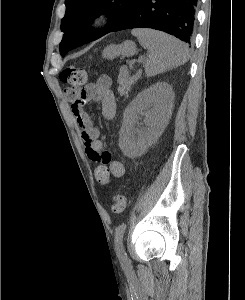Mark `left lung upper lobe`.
Returning <instances> with one entry per match:
<instances>
[{"instance_id": "left-lung-upper-lobe-1", "label": "left lung upper lobe", "mask_w": 245, "mask_h": 300, "mask_svg": "<svg viewBox=\"0 0 245 300\" xmlns=\"http://www.w3.org/2000/svg\"><path fill=\"white\" fill-rule=\"evenodd\" d=\"M136 0H65L66 12L61 21L64 32L60 43V53L88 43L92 38L105 35L129 12ZM105 14L107 25L95 30L90 24L92 19Z\"/></svg>"}]
</instances>
